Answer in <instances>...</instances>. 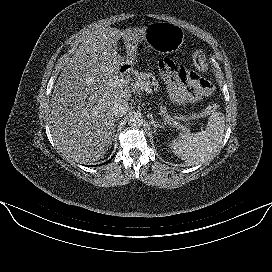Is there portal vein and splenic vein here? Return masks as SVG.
Listing matches in <instances>:
<instances>
[{
  "label": "portal vein and splenic vein",
  "instance_id": "obj_1",
  "mask_svg": "<svg viewBox=\"0 0 272 272\" xmlns=\"http://www.w3.org/2000/svg\"><path fill=\"white\" fill-rule=\"evenodd\" d=\"M108 86H112V87H128V88H132V87H137L135 84H130V82L128 80L125 79H119L118 77H114L112 79H110L107 82ZM141 90H144L146 93L148 94H152L153 91L149 86H145V87H141Z\"/></svg>",
  "mask_w": 272,
  "mask_h": 272
}]
</instances>
